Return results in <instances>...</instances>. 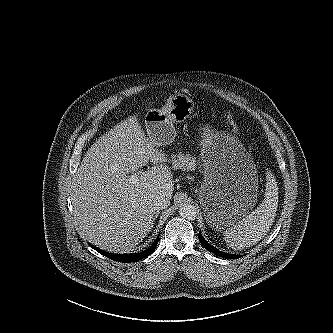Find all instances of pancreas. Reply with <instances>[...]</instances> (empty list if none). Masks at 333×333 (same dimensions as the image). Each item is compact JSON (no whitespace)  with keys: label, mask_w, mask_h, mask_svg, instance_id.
Returning a JSON list of instances; mask_svg holds the SVG:
<instances>
[{"label":"pancreas","mask_w":333,"mask_h":333,"mask_svg":"<svg viewBox=\"0 0 333 333\" xmlns=\"http://www.w3.org/2000/svg\"><path fill=\"white\" fill-rule=\"evenodd\" d=\"M173 167L175 169H181L183 171H194L199 165L196 158L190 154L178 153L172 156ZM201 168V166H198Z\"/></svg>","instance_id":"cf45deb5"}]
</instances>
